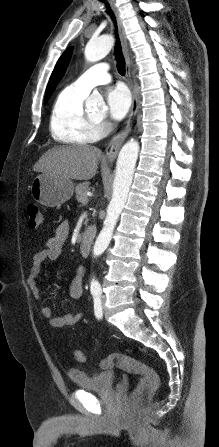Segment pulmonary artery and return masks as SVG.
Returning a JSON list of instances; mask_svg holds the SVG:
<instances>
[{
    "label": "pulmonary artery",
    "instance_id": "pulmonary-artery-1",
    "mask_svg": "<svg viewBox=\"0 0 219 447\" xmlns=\"http://www.w3.org/2000/svg\"><path fill=\"white\" fill-rule=\"evenodd\" d=\"M110 81L111 76L108 73V66L101 63L91 67L69 87L86 96L93 87L109 83Z\"/></svg>",
    "mask_w": 219,
    "mask_h": 447
}]
</instances>
